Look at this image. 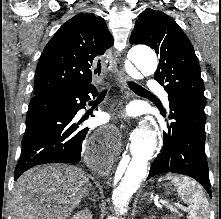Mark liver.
<instances>
[{
    "mask_svg": "<svg viewBox=\"0 0 221 219\" xmlns=\"http://www.w3.org/2000/svg\"><path fill=\"white\" fill-rule=\"evenodd\" d=\"M89 176L67 165L37 166L15 183L12 219H67L90 191Z\"/></svg>",
    "mask_w": 221,
    "mask_h": 219,
    "instance_id": "1",
    "label": "liver"
}]
</instances>
